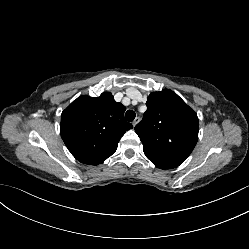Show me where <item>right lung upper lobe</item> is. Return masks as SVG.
<instances>
[{"label":"right lung upper lobe","mask_w":249,"mask_h":249,"mask_svg":"<svg viewBox=\"0 0 249 249\" xmlns=\"http://www.w3.org/2000/svg\"><path fill=\"white\" fill-rule=\"evenodd\" d=\"M126 107L110 92L99 97L80 96L61 115V137L80 162L97 165L117 149L123 134L133 128L124 120Z\"/></svg>","instance_id":"obj_1"}]
</instances>
